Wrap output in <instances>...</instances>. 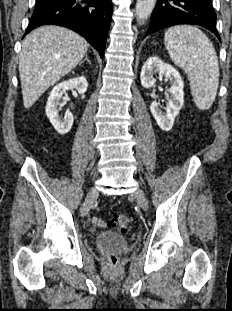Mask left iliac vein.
Returning a JSON list of instances; mask_svg holds the SVG:
<instances>
[{"label":"left iliac vein","instance_id":"left-iliac-vein-1","mask_svg":"<svg viewBox=\"0 0 232 311\" xmlns=\"http://www.w3.org/2000/svg\"><path fill=\"white\" fill-rule=\"evenodd\" d=\"M131 197H133L137 203L140 205V207L146 211L148 209V201L145 193L141 189L135 190L132 194Z\"/></svg>","mask_w":232,"mask_h":311}]
</instances>
